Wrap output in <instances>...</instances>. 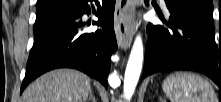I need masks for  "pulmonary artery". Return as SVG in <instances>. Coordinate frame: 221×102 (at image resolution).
Segmentation results:
<instances>
[{"mask_svg": "<svg viewBox=\"0 0 221 102\" xmlns=\"http://www.w3.org/2000/svg\"><path fill=\"white\" fill-rule=\"evenodd\" d=\"M161 6L166 10V4L164 0H159Z\"/></svg>", "mask_w": 221, "mask_h": 102, "instance_id": "obj_1", "label": "pulmonary artery"}]
</instances>
